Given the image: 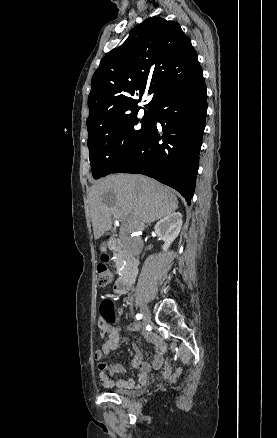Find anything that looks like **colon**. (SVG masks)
I'll return each instance as SVG.
<instances>
[{"instance_id":"obj_1","label":"colon","mask_w":277,"mask_h":438,"mask_svg":"<svg viewBox=\"0 0 277 438\" xmlns=\"http://www.w3.org/2000/svg\"><path fill=\"white\" fill-rule=\"evenodd\" d=\"M109 254H103L101 256V260L102 262H100L97 265V274H96V282L100 287H105V286H109L113 283V271L110 270V268L108 267L107 263L109 262ZM115 304H114V309H115ZM101 325L104 327L103 331L105 333H108L110 331V329L107 327L108 322L106 320H103L101 322ZM103 365H100V368Z\"/></svg>"}]
</instances>
